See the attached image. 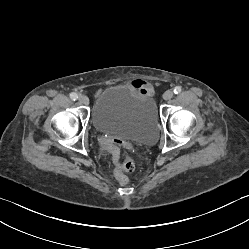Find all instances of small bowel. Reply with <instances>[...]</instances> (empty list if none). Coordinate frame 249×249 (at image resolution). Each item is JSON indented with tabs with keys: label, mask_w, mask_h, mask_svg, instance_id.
<instances>
[{
	"label": "small bowel",
	"mask_w": 249,
	"mask_h": 249,
	"mask_svg": "<svg viewBox=\"0 0 249 249\" xmlns=\"http://www.w3.org/2000/svg\"><path fill=\"white\" fill-rule=\"evenodd\" d=\"M129 85L137 90H140L145 95L151 96L153 93L152 85L145 80L136 79L131 81Z\"/></svg>",
	"instance_id": "1"
}]
</instances>
